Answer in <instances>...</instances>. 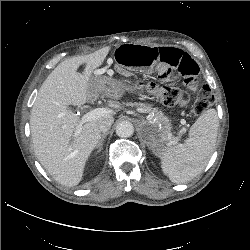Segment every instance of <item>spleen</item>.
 Wrapping results in <instances>:
<instances>
[{
  "label": "spleen",
  "instance_id": "3e777b00",
  "mask_svg": "<svg viewBox=\"0 0 250 250\" xmlns=\"http://www.w3.org/2000/svg\"><path fill=\"white\" fill-rule=\"evenodd\" d=\"M219 120L215 109H208L191 126L183 144L162 149L161 168L174 183H186L207 165L216 145Z\"/></svg>",
  "mask_w": 250,
  "mask_h": 250
}]
</instances>
